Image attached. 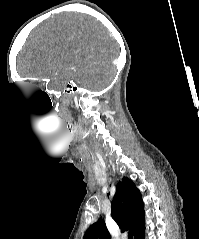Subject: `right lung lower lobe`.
Segmentation results:
<instances>
[{
	"label": "right lung lower lobe",
	"mask_w": 199,
	"mask_h": 239,
	"mask_svg": "<svg viewBox=\"0 0 199 239\" xmlns=\"http://www.w3.org/2000/svg\"><path fill=\"white\" fill-rule=\"evenodd\" d=\"M145 222L134 232V239H144Z\"/></svg>",
	"instance_id": "obj_1"
}]
</instances>
